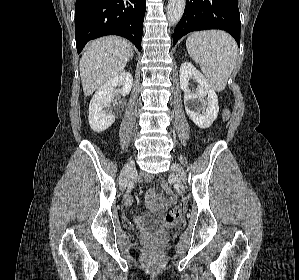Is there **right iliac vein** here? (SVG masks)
Instances as JSON below:
<instances>
[{"mask_svg": "<svg viewBox=\"0 0 299 280\" xmlns=\"http://www.w3.org/2000/svg\"><path fill=\"white\" fill-rule=\"evenodd\" d=\"M134 170V162L130 161L129 163H127L124 167V169L122 170L121 173V179H120V187L121 189L126 188L127 182L129 180V176L132 173V171Z\"/></svg>", "mask_w": 299, "mask_h": 280, "instance_id": "right-iliac-vein-1", "label": "right iliac vein"}]
</instances>
